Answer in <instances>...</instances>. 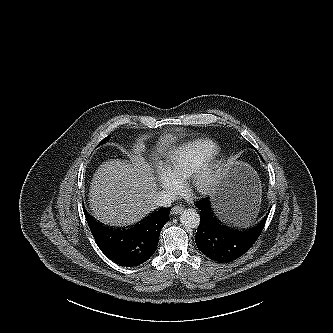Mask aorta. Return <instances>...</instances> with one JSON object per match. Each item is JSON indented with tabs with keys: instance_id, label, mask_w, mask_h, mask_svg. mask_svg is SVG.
<instances>
[{
	"instance_id": "1",
	"label": "aorta",
	"mask_w": 333,
	"mask_h": 333,
	"mask_svg": "<svg viewBox=\"0 0 333 333\" xmlns=\"http://www.w3.org/2000/svg\"><path fill=\"white\" fill-rule=\"evenodd\" d=\"M180 222L185 228L195 229L199 226L200 215L194 209H185L180 215Z\"/></svg>"
}]
</instances>
